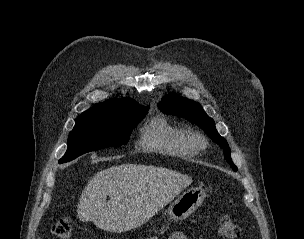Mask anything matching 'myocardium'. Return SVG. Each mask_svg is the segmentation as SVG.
<instances>
[{
    "label": "myocardium",
    "mask_w": 304,
    "mask_h": 239,
    "mask_svg": "<svg viewBox=\"0 0 304 239\" xmlns=\"http://www.w3.org/2000/svg\"><path fill=\"white\" fill-rule=\"evenodd\" d=\"M188 140L192 147L197 151L203 149L206 145L205 138L200 133H189Z\"/></svg>",
    "instance_id": "myocardium-1"
}]
</instances>
